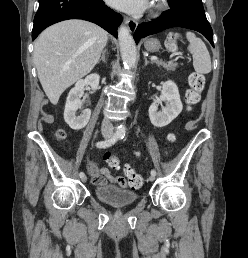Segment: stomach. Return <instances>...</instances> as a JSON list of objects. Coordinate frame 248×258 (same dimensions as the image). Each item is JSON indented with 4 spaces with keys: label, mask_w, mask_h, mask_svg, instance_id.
Masks as SVG:
<instances>
[{
    "label": "stomach",
    "mask_w": 248,
    "mask_h": 258,
    "mask_svg": "<svg viewBox=\"0 0 248 258\" xmlns=\"http://www.w3.org/2000/svg\"><path fill=\"white\" fill-rule=\"evenodd\" d=\"M144 47L149 52H156L160 49L161 45L157 39L152 38V39H148L144 43Z\"/></svg>",
    "instance_id": "obj_1"
}]
</instances>
